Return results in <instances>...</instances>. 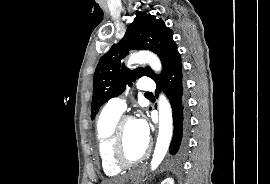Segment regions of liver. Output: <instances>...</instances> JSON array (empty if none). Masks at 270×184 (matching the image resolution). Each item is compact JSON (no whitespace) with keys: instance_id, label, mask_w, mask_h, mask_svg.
I'll use <instances>...</instances> for the list:
<instances>
[{"instance_id":"1","label":"liver","mask_w":270,"mask_h":184,"mask_svg":"<svg viewBox=\"0 0 270 184\" xmlns=\"http://www.w3.org/2000/svg\"><path fill=\"white\" fill-rule=\"evenodd\" d=\"M125 179L117 180V181H108L105 184H123Z\"/></svg>"}]
</instances>
